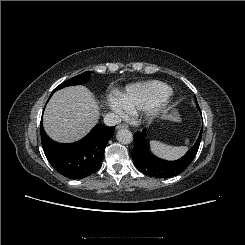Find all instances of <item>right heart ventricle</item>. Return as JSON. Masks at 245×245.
I'll list each match as a JSON object with an SVG mask.
<instances>
[{"instance_id":"e07e8e85","label":"right heart ventricle","mask_w":245,"mask_h":245,"mask_svg":"<svg viewBox=\"0 0 245 245\" xmlns=\"http://www.w3.org/2000/svg\"><path fill=\"white\" fill-rule=\"evenodd\" d=\"M171 88L157 80L129 85L119 94L128 112L135 109H145L157 102L168 98Z\"/></svg>"}]
</instances>
